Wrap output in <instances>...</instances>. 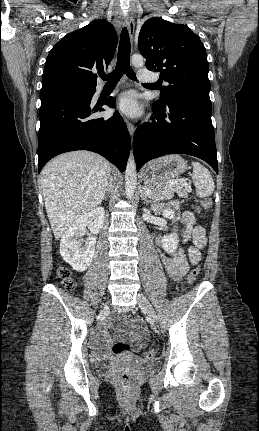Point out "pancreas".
<instances>
[{"label":"pancreas","mask_w":259,"mask_h":431,"mask_svg":"<svg viewBox=\"0 0 259 431\" xmlns=\"http://www.w3.org/2000/svg\"><path fill=\"white\" fill-rule=\"evenodd\" d=\"M147 189L151 190L149 198L152 200H168L174 197V193H177L181 198L188 197V188L181 183L170 184L168 182H154L145 183Z\"/></svg>","instance_id":"obj_1"}]
</instances>
